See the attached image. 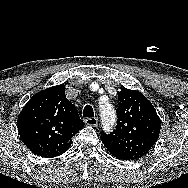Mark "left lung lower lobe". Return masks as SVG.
Listing matches in <instances>:
<instances>
[{
    "instance_id": "left-lung-lower-lobe-1",
    "label": "left lung lower lobe",
    "mask_w": 188,
    "mask_h": 188,
    "mask_svg": "<svg viewBox=\"0 0 188 188\" xmlns=\"http://www.w3.org/2000/svg\"><path fill=\"white\" fill-rule=\"evenodd\" d=\"M104 146L107 148V150L116 158L122 159V160H134L135 158L132 157L130 154L120 150L116 146L112 145L110 142L102 140Z\"/></svg>"
}]
</instances>
